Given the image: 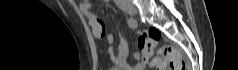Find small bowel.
I'll return each instance as SVG.
<instances>
[{"label": "small bowel", "instance_id": "c3829d8e", "mask_svg": "<svg viewBox=\"0 0 238 70\" xmlns=\"http://www.w3.org/2000/svg\"><path fill=\"white\" fill-rule=\"evenodd\" d=\"M81 12L88 19L90 30L95 38L103 39L108 45V53L114 63V67L118 70H144L151 55H147L141 45L139 38L138 45L140 52L135 53L134 59L137 61L134 65L127 63L128 41L122 36L118 49H115V39L112 34H108L105 24L100 17L91 12V3L88 0H82L79 3Z\"/></svg>", "mask_w": 238, "mask_h": 70}]
</instances>
